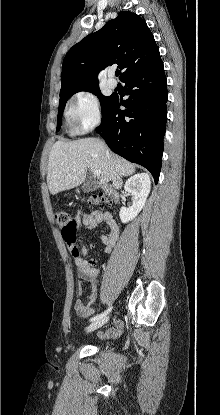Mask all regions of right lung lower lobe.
Here are the masks:
<instances>
[{
	"mask_svg": "<svg viewBox=\"0 0 220 415\" xmlns=\"http://www.w3.org/2000/svg\"><path fill=\"white\" fill-rule=\"evenodd\" d=\"M129 99L112 96L98 133L112 151L147 168L158 182L168 99L163 62L122 79ZM126 107L120 110V106Z\"/></svg>",
	"mask_w": 220,
	"mask_h": 415,
	"instance_id": "right-lung-lower-lobe-1",
	"label": "right lung lower lobe"
}]
</instances>
